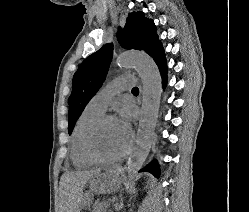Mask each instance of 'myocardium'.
<instances>
[{
	"instance_id": "1",
	"label": "myocardium",
	"mask_w": 249,
	"mask_h": 212,
	"mask_svg": "<svg viewBox=\"0 0 249 212\" xmlns=\"http://www.w3.org/2000/svg\"><path fill=\"white\" fill-rule=\"evenodd\" d=\"M109 120H116L114 116L111 115H101L98 117L88 128L83 142V149L85 155L91 160L94 164L97 165H113L121 160H123L130 152L131 145L127 147V149L119 156L111 159L103 158L100 156L95 148V137L100 126Z\"/></svg>"
}]
</instances>
